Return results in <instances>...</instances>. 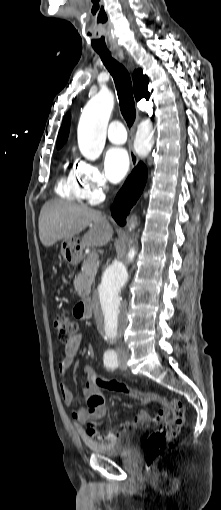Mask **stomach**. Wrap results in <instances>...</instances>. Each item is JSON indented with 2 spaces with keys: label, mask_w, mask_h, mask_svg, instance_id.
Returning a JSON list of instances; mask_svg holds the SVG:
<instances>
[{
  "label": "stomach",
  "mask_w": 221,
  "mask_h": 510,
  "mask_svg": "<svg viewBox=\"0 0 221 510\" xmlns=\"http://www.w3.org/2000/svg\"><path fill=\"white\" fill-rule=\"evenodd\" d=\"M81 246L75 238L64 239L61 243V254L67 261L73 262L80 258Z\"/></svg>",
  "instance_id": "1"
}]
</instances>
